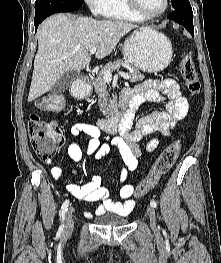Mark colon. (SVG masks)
Segmentation results:
<instances>
[{
	"instance_id": "1",
	"label": "colon",
	"mask_w": 221,
	"mask_h": 263,
	"mask_svg": "<svg viewBox=\"0 0 221 263\" xmlns=\"http://www.w3.org/2000/svg\"><path fill=\"white\" fill-rule=\"evenodd\" d=\"M180 71L188 91L197 95L201 89L198 72L189 54H185L180 62ZM37 109L47 112H60L66 107V100L60 94H48L35 102ZM29 135L32 148L37 157L49 161L62 143L63 133L54 121L41 119L32 114L29 120ZM180 151V143L169 144L158 156L148 175L135 189L136 197H144L158 183L160 178L172 167Z\"/></svg>"
}]
</instances>
